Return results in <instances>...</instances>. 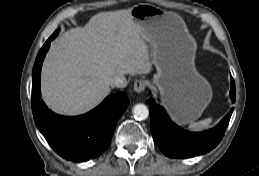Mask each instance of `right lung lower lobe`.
Segmentation results:
<instances>
[{
	"label": "right lung lower lobe",
	"mask_w": 259,
	"mask_h": 176,
	"mask_svg": "<svg viewBox=\"0 0 259 176\" xmlns=\"http://www.w3.org/2000/svg\"><path fill=\"white\" fill-rule=\"evenodd\" d=\"M56 30L40 49L33 67L32 111L37 128L56 153L67 160L83 162L98 157L109 146L116 124L129 99L124 92L108 96L98 107L77 117H64L47 108L41 99L40 74Z\"/></svg>",
	"instance_id": "right-lung-lower-lobe-1"
}]
</instances>
